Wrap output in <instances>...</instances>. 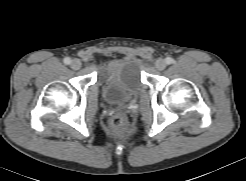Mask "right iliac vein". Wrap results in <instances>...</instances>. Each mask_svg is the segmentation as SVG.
<instances>
[{
	"mask_svg": "<svg viewBox=\"0 0 246 181\" xmlns=\"http://www.w3.org/2000/svg\"><path fill=\"white\" fill-rule=\"evenodd\" d=\"M70 66H71L72 69L78 70V69H80V67H81V62H80V60H78V59H73V60L71 61V63H70Z\"/></svg>",
	"mask_w": 246,
	"mask_h": 181,
	"instance_id": "obj_1",
	"label": "right iliac vein"
}]
</instances>
